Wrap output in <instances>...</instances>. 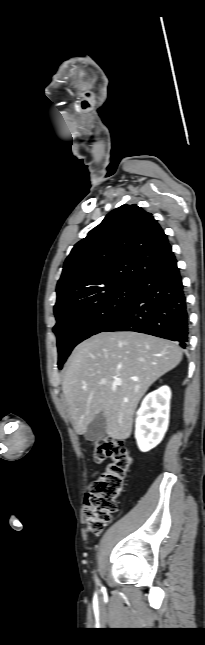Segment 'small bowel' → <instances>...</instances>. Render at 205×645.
<instances>
[{
    "instance_id": "obj_1",
    "label": "small bowel",
    "mask_w": 205,
    "mask_h": 645,
    "mask_svg": "<svg viewBox=\"0 0 205 645\" xmlns=\"http://www.w3.org/2000/svg\"><path fill=\"white\" fill-rule=\"evenodd\" d=\"M97 474H98V472H95V473L92 475V478H94ZM91 486H92V481H90V483L88 484V489H90V488H91Z\"/></svg>"
}]
</instances>
